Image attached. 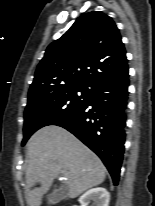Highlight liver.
Here are the masks:
<instances>
[{
  "instance_id": "1",
  "label": "liver",
  "mask_w": 155,
  "mask_h": 206,
  "mask_svg": "<svg viewBox=\"0 0 155 206\" xmlns=\"http://www.w3.org/2000/svg\"><path fill=\"white\" fill-rule=\"evenodd\" d=\"M26 169L28 206H40L43 195L62 173L67 196L76 198L100 185L106 177L101 160L67 130L50 125L39 129L27 143ZM37 183L41 186L31 189Z\"/></svg>"
}]
</instances>
